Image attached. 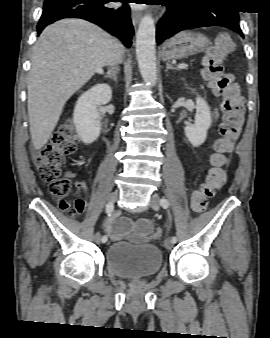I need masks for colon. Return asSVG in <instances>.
Masks as SVG:
<instances>
[{
  "mask_svg": "<svg viewBox=\"0 0 270 338\" xmlns=\"http://www.w3.org/2000/svg\"><path fill=\"white\" fill-rule=\"evenodd\" d=\"M233 50L232 38L222 34L204 50L201 58L203 78L209 82L215 93L222 96V122L219 129L220 137L214 142V153L211 156L212 168L206 180L191 195L192 210L198 214L205 211L209 199L226 183L227 169L230 165L228 155L243 123V106L238 86L222 67V62ZM77 142L74 125L69 123L34 154V164L38 174L47 184L50 193L60 198L59 208L71 217L80 216L85 206L82 199L72 202L64 200L72 191V183L64 171L66 157L75 151ZM159 235L160 231H157L155 237L158 238Z\"/></svg>",
  "mask_w": 270,
  "mask_h": 338,
  "instance_id": "colon-1",
  "label": "colon"
}]
</instances>
